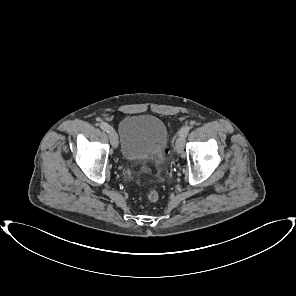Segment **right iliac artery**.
<instances>
[{"label": "right iliac artery", "mask_w": 296, "mask_h": 296, "mask_svg": "<svg viewBox=\"0 0 296 296\" xmlns=\"http://www.w3.org/2000/svg\"><path fill=\"white\" fill-rule=\"evenodd\" d=\"M100 127H101L102 130L107 131V132H109V130H110V128H111V126L108 125L106 122H102V123L100 124Z\"/></svg>", "instance_id": "1"}]
</instances>
